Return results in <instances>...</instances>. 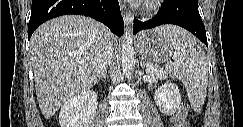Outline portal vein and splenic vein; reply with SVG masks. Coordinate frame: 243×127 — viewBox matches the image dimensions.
I'll use <instances>...</instances> for the list:
<instances>
[{
  "instance_id": "18ae733b",
  "label": "portal vein and splenic vein",
  "mask_w": 243,
  "mask_h": 127,
  "mask_svg": "<svg viewBox=\"0 0 243 127\" xmlns=\"http://www.w3.org/2000/svg\"><path fill=\"white\" fill-rule=\"evenodd\" d=\"M146 72L149 73V74H155V73H160V74H164L165 72L162 71V70H157L151 66H148L147 69H146Z\"/></svg>"
}]
</instances>
